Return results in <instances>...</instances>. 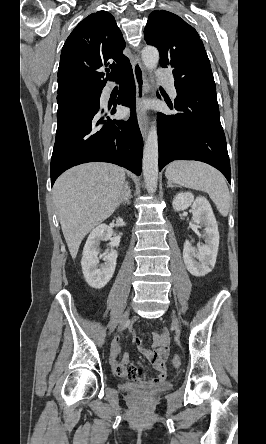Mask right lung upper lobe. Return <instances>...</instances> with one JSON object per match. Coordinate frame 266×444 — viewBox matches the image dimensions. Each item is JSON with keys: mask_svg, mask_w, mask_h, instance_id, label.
Wrapping results in <instances>:
<instances>
[{"mask_svg": "<svg viewBox=\"0 0 266 444\" xmlns=\"http://www.w3.org/2000/svg\"><path fill=\"white\" fill-rule=\"evenodd\" d=\"M125 45L114 17L107 11L93 13L82 20L61 51L57 97L100 92L107 80H115L130 64L122 53ZM108 65L112 71L103 79L104 73L99 69Z\"/></svg>", "mask_w": 266, "mask_h": 444, "instance_id": "1", "label": "right lung upper lobe"}]
</instances>
